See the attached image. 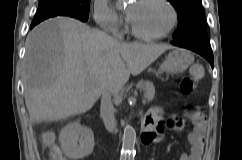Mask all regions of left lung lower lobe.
Wrapping results in <instances>:
<instances>
[{"label": "left lung lower lobe", "mask_w": 242, "mask_h": 160, "mask_svg": "<svg viewBox=\"0 0 242 160\" xmlns=\"http://www.w3.org/2000/svg\"><path fill=\"white\" fill-rule=\"evenodd\" d=\"M173 45L192 50L206 58L213 67L214 58L211 45L207 37H191L183 40H174Z\"/></svg>", "instance_id": "obj_1"}]
</instances>
